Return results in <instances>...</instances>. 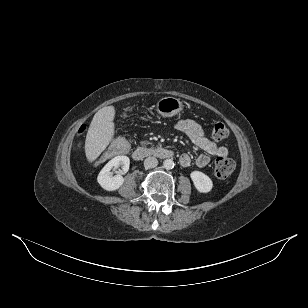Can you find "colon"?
<instances>
[{
  "instance_id": "5ec220e1",
  "label": "colon",
  "mask_w": 308,
  "mask_h": 308,
  "mask_svg": "<svg viewBox=\"0 0 308 308\" xmlns=\"http://www.w3.org/2000/svg\"><path fill=\"white\" fill-rule=\"evenodd\" d=\"M84 130L85 126H82L80 128V133ZM228 135L229 130L223 123L217 122L213 125L211 136L214 140L223 141L228 137ZM130 150L131 148L127 139H116L112 143L110 150L101 156L98 163L101 161L102 165H109L115 158L120 157L121 155H128ZM234 169L235 162L228 157H218L214 163V174L216 177L221 179L229 177Z\"/></svg>"
}]
</instances>
